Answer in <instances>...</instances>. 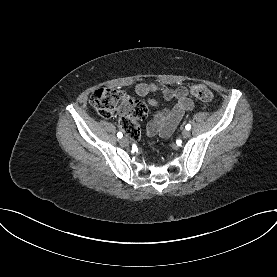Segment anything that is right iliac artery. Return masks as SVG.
Returning a JSON list of instances; mask_svg holds the SVG:
<instances>
[{
	"instance_id": "1",
	"label": "right iliac artery",
	"mask_w": 277,
	"mask_h": 277,
	"mask_svg": "<svg viewBox=\"0 0 277 277\" xmlns=\"http://www.w3.org/2000/svg\"><path fill=\"white\" fill-rule=\"evenodd\" d=\"M122 136H123V134H122L121 132H118V133H117V137H118V138H122Z\"/></svg>"
}]
</instances>
